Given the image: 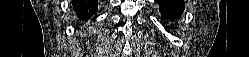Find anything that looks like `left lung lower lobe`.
<instances>
[{
    "mask_svg": "<svg viewBox=\"0 0 249 57\" xmlns=\"http://www.w3.org/2000/svg\"><path fill=\"white\" fill-rule=\"evenodd\" d=\"M161 11V16L170 21L178 18L184 10L185 4L183 0H156Z\"/></svg>",
    "mask_w": 249,
    "mask_h": 57,
    "instance_id": "obj_1",
    "label": "left lung lower lobe"
}]
</instances>
